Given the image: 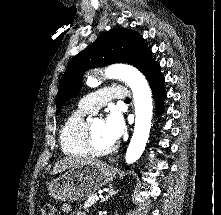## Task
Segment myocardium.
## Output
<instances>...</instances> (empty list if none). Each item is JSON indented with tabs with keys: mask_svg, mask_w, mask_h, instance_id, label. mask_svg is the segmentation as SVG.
I'll list each match as a JSON object with an SVG mask.
<instances>
[{
	"mask_svg": "<svg viewBox=\"0 0 221 215\" xmlns=\"http://www.w3.org/2000/svg\"><path fill=\"white\" fill-rule=\"evenodd\" d=\"M85 142L89 152L95 155H107L114 152L117 148L116 143L107 148L98 147L94 141L91 123L87 124Z\"/></svg>",
	"mask_w": 221,
	"mask_h": 215,
	"instance_id": "obj_1",
	"label": "myocardium"
}]
</instances>
